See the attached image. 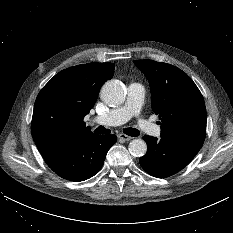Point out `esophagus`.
Masks as SVG:
<instances>
[{"mask_svg":"<svg viewBox=\"0 0 233 233\" xmlns=\"http://www.w3.org/2000/svg\"><path fill=\"white\" fill-rule=\"evenodd\" d=\"M118 138L122 141H130L133 139V137L128 136L126 134H122V133L118 135Z\"/></svg>","mask_w":233,"mask_h":233,"instance_id":"esophagus-1","label":"esophagus"}]
</instances>
